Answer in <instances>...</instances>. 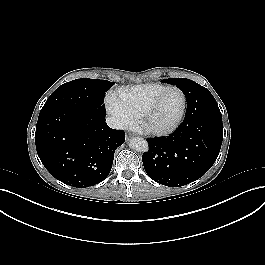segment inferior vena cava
Here are the masks:
<instances>
[{
	"mask_svg": "<svg viewBox=\"0 0 265 265\" xmlns=\"http://www.w3.org/2000/svg\"><path fill=\"white\" fill-rule=\"evenodd\" d=\"M106 123L109 127L113 129H125L126 128V122L119 117L108 116L106 118Z\"/></svg>",
	"mask_w": 265,
	"mask_h": 265,
	"instance_id": "1",
	"label": "inferior vena cava"
}]
</instances>
